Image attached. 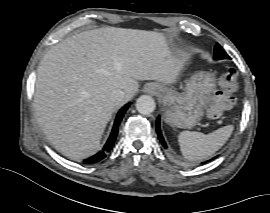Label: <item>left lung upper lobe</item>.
<instances>
[{"label":"left lung upper lobe","instance_id":"obj_1","mask_svg":"<svg viewBox=\"0 0 270 213\" xmlns=\"http://www.w3.org/2000/svg\"><path fill=\"white\" fill-rule=\"evenodd\" d=\"M214 59L215 60L230 59V57L218 43L215 46Z\"/></svg>","mask_w":270,"mask_h":213}]
</instances>
